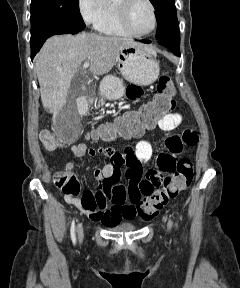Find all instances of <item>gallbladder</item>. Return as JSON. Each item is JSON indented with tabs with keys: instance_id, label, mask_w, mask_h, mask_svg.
<instances>
[{
	"instance_id": "bac80fb5",
	"label": "gallbladder",
	"mask_w": 240,
	"mask_h": 288,
	"mask_svg": "<svg viewBox=\"0 0 240 288\" xmlns=\"http://www.w3.org/2000/svg\"><path fill=\"white\" fill-rule=\"evenodd\" d=\"M77 115L75 104V96L72 91H69L67 103L63 109L56 115L55 121L59 124H65L71 117Z\"/></svg>"
}]
</instances>
